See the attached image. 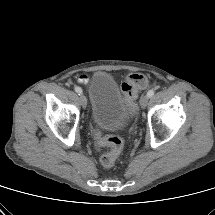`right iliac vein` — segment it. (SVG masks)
Here are the masks:
<instances>
[{
    "instance_id": "1",
    "label": "right iliac vein",
    "mask_w": 215,
    "mask_h": 215,
    "mask_svg": "<svg viewBox=\"0 0 215 215\" xmlns=\"http://www.w3.org/2000/svg\"><path fill=\"white\" fill-rule=\"evenodd\" d=\"M80 102H81V105L83 106V108H85L87 105V99L83 94H80Z\"/></svg>"
}]
</instances>
